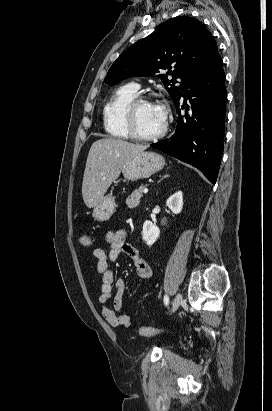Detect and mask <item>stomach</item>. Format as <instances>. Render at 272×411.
Returning a JSON list of instances; mask_svg holds the SVG:
<instances>
[{
    "label": "stomach",
    "mask_w": 272,
    "mask_h": 411,
    "mask_svg": "<svg viewBox=\"0 0 272 411\" xmlns=\"http://www.w3.org/2000/svg\"><path fill=\"white\" fill-rule=\"evenodd\" d=\"M164 158L155 152H141L126 162L121 172L125 179L136 181L148 178L157 171L163 169ZM116 207L115 198L111 195L103 197L100 203L93 210V217L96 221L104 222L110 219Z\"/></svg>",
    "instance_id": "stomach-1"
}]
</instances>
